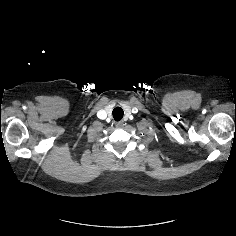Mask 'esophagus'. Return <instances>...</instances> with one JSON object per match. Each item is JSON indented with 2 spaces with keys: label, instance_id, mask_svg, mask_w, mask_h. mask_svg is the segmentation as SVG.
I'll list each match as a JSON object with an SVG mask.
<instances>
[{
  "label": "esophagus",
  "instance_id": "1",
  "mask_svg": "<svg viewBox=\"0 0 236 236\" xmlns=\"http://www.w3.org/2000/svg\"><path fill=\"white\" fill-rule=\"evenodd\" d=\"M123 122L119 121V122H116V127L117 128H122L123 127Z\"/></svg>",
  "mask_w": 236,
  "mask_h": 236
}]
</instances>
